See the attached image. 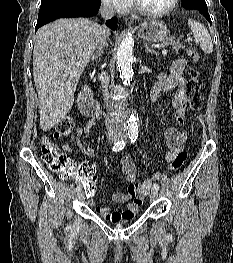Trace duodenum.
Returning a JSON list of instances; mask_svg holds the SVG:
<instances>
[{
	"label": "duodenum",
	"instance_id": "obj_1",
	"mask_svg": "<svg viewBox=\"0 0 233 263\" xmlns=\"http://www.w3.org/2000/svg\"><path fill=\"white\" fill-rule=\"evenodd\" d=\"M78 106L82 114L90 117H96L100 113V105L93 97L88 84H85L78 95Z\"/></svg>",
	"mask_w": 233,
	"mask_h": 263
}]
</instances>
